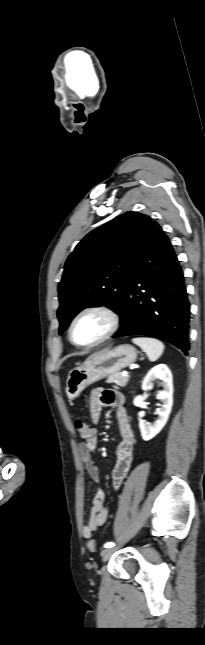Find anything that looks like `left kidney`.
Segmentation results:
<instances>
[{"mask_svg": "<svg viewBox=\"0 0 205 645\" xmlns=\"http://www.w3.org/2000/svg\"><path fill=\"white\" fill-rule=\"evenodd\" d=\"M157 379H160L163 384V390L157 395V398L162 402L160 408L156 410L158 419L153 424H149L142 419V413L138 414L141 435L145 441L152 439L162 430L168 421L173 405L172 373L165 364H158L148 372L142 382V390H149L151 384Z\"/></svg>", "mask_w": 205, "mask_h": 645, "instance_id": "obj_1", "label": "left kidney"}]
</instances>
